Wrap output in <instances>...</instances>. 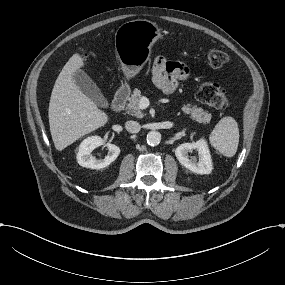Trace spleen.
<instances>
[{
	"mask_svg": "<svg viewBox=\"0 0 285 285\" xmlns=\"http://www.w3.org/2000/svg\"><path fill=\"white\" fill-rule=\"evenodd\" d=\"M239 126L231 115L222 117L209 135L210 145L227 158L235 156L239 145Z\"/></svg>",
	"mask_w": 285,
	"mask_h": 285,
	"instance_id": "spleen-1",
	"label": "spleen"
}]
</instances>
